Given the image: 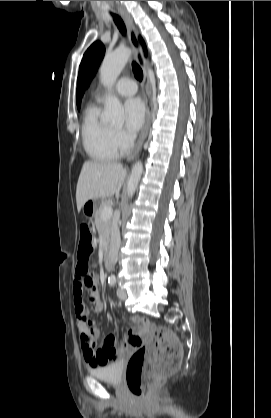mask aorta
Instances as JSON below:
<instances>
[{
    "label": "aorta",
    "mask_w": 271,
    "mask_h": 418,
    "mask_svg": "<svg viewBox=\"0 0 271 418\" xmlns=\"http://www.w3.org/2000/svg\"><path fill=\"white\" fill-rule=\"evenodd\" d=\"M131 51L126 48H120L113 53L106 55L100 67L101 82L107 86L112 85L117 80L121 71L125 67ZM103 121L112 125H122L124 122V109L120 101L114 95H109L105 101V112ZM143 172V164L141 161L136 162L127 182V195L132 198ZM114 279V276H112Z\"/></svg>",
    "instance_id": "aorta-1"
}]
</instances>
